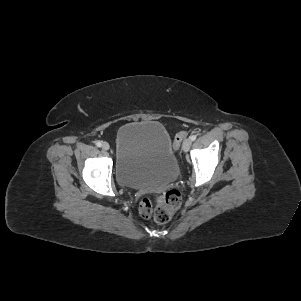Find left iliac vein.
<instances>
[{"label":"left iliac vein","mask_w":301,"mask_h":301,"mask_svg":"<svg viewBox=\"0 0 301 301\" xmlns=\"http://www.w3.org/2000/svg\"><path fill=\"white\" fill-rule=\"evenodd\" d=\"M192 144V140L190 138H187L184 140L182 149L184 152H188Z\"/></svg>","instance_id":"obj_1"}]
</instances>
